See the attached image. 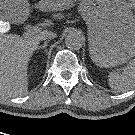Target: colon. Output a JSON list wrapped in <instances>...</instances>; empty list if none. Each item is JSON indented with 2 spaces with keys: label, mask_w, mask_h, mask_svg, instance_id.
<instances>
[{
  "label": "colon",
  "mask_w": 135,
  "mask_h": 135,
  "mask_svg": "<svg viewBox=\"0 0 135 135\" xmlns=\"http://www.w3.org/2000/svg\"><path fill=\"white\" fill-rule=\"evenodd\" d=\"M129 6L135 11V0H128Z\"/></svg>",
  "instance_id": "colon-1"
}]
</instances>
